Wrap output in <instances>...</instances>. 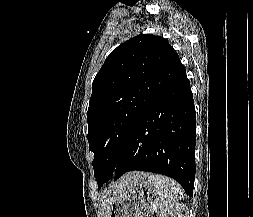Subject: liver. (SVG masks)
I'll list each match as a JSON object with an SVG mask.
<instances>
[{
  "instance_id": "6515ba94",
  "label": "liver",
  "mask_w": 253,
  "mask_h": 217,
  "mask_svg": "<svg viewBox=\"0 0 253 217\" xmlns=\"http://www.w3.org/2000/svg\"><path fill=\"white\" fill-rule=\"evenodd\" d=\"M146 173L130 172L122 176L117 182L111 184L108 189L101 193V210L103 217H108L113 201L121 197L127 190L145 180Z\"/></svg>"
}]
</instances>
